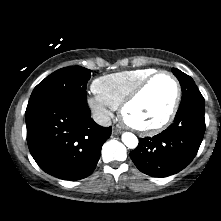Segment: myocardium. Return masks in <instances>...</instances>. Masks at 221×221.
<instances>
[{"mask_svg":"<svg viewBox=\"0 0 221 221\" xmlns=\"http://www.w3.org/2000/svg\"><path fill=\"white\" fill-rule=\"evenodd\" d=\"M161 75H166L168 76L174 86H175V97H174V101L172 103V106L168 112V114L166 115V117L159 122L158 124L151 126V127H138L133 125L132 123H130L126 117V111L128 109V107L134 103L138 97L143 93V91L147 88V86L158 76ZM181 95H182V91H181V86L180 83L177 79V77L170 71L167 70H158L155 71L154 73H152L151 75L147 76L145 79H143L122 101V103L120 104V116L121 119L123 121V123L130 128L131 130L137 132L140 135L143 136H152L155 134L160 133L161 131H163L164 129H166L174 120L177 111L179 109V105H180V101H181Z\"/></svg>","mask_w":221,"mask_h":221,"instance_id":"myocardium-1","label":"myocardium"}]
</instances>
